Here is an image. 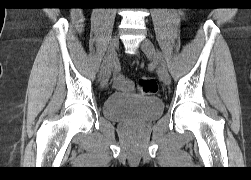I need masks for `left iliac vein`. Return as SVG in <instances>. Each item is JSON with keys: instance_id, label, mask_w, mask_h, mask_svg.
Segmentation results:
<instances>
[{"instance_id": "left-iliac-vein-1", "label": "left iliac vein", "mask_w": 251, "mask_h": 180, "mask_svg": "<svg viewBox=\"0 0 251 180\" xmlns=\"http://www.w3.org/2000/svg\"><path fill=\"white\" fill-rule=\"evenodd\" d=\"M140 48L146 54V56L157 66V73L160 80L165 85H169L171 83L170 75L167 69L163 65H161L160 59L155 51L153 43L148 38H145L140 42Z\"/></svg>"}]
</instances>
